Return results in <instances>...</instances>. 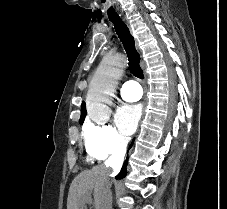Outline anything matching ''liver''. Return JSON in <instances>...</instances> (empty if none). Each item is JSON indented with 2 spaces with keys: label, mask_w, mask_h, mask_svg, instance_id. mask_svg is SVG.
<instances>
[{
  "label": "liver",
  "mask_w": 227,
  "mask_h": 209,
  "mask_svg": "<svg viewBox=\"0 0 227 209\" xmlns=\"http://www.w3.org/2000/svg\"><path fill=\"white\" fill-rule=\"evenodd\" d=\"M101 171L104 175V179H107V169H91V171H82L75 179H73L67 199V209H81L86 201L88 191L95 189V185L100 179Z\"/></svg>",
  "instance_id": "6515ba94"
}]
</instances>
